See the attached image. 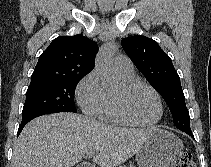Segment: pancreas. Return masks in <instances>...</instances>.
<instances>
[{
	"label": "pancreas",
	"mask_w": 211,
	"mask_h": 167,
	"mask_svg": "<svg viewBox=\"0 0 211 167\" xmlns=\"http://www.w3.org/2000/svg\"><path fill=\"white\" fill-rule=\"evenodd\" d=\"M120 167H126L125 165H123V166H120Z\"/></svg>",
	"instance_id": "pancreas-1"
}]
</instances>
